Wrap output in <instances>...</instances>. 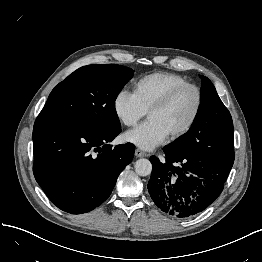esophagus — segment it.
<instances>
[{"label":"esophagus","mask_w":262,"mask_h":262,"mask_svg":"<svg viewBox=\"0 0 262 262\" xmlns=\"http://www.w3.org/2000/svg\"><path fill=\"white\" fill-rule=\"evenodd\" d=\"M135 156L138 157V158H141V157H146L148 156V154L140 149H136L135 150Z\"/></svg>","instance_id":"esophagus-1"}]
</instances>
